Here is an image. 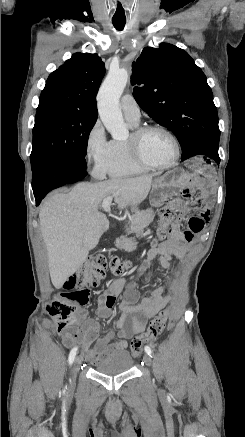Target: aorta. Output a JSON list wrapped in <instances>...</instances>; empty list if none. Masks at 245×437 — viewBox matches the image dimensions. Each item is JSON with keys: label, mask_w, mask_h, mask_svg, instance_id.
I'll list each match as a JSON object with an SVG mask.
<instances>
[{"label": "aorta", "mask_w": 245, "mask_h": 437, "mask_svg": "<svg viewBox=\"0 0 245 437\" xmlns=\"http://www.w3.org/2000/svg\"><path fill=\"white\" fill-rule=\"evenodd\" d=\"M128 73L123 69H110L98 92V111L100 118L114 139L120 140L128 135L119 108V98L128 81Z\"/></svg>", "instance_id": "1"}]
</instances>
